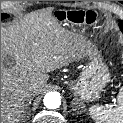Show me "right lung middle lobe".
<instances>
[{
  "mask_svg": "<svg viewBox=\"0 0 123 123\" xmlns=\"http://www.w3.org/2000/svg\"><path fill=\"white\" fill-rule=\"evenodd\" d=\"M9 15L8 14H5V13H1V20L7 18Z\"/></svg>",
  "mask_w": 123,
  "mask_h": 123,
  "instance_id": "right-lung-middle-lobe-1",
  "label": "right lung middle lobe"
}]
</instances>
